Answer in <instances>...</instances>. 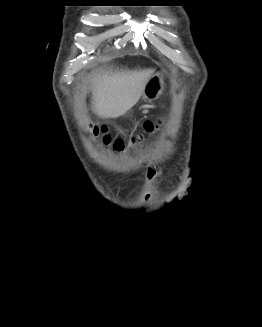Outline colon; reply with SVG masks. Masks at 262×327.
Wrapping results in <instances>:
<instances>
[{
	"label": "colon",
	"instance_id": "obj_1",
	"mask_svg": "<svg viewBox=\"0 0 262 327\" xmlns=\"http://www.w3.org/2000/svg\"><path fill=\"white\" fill-rule=\"evenodd\" d=\"M157 127L158 123L148 120L144 123L143 131L145 133H153L157 129ZM90 131L94 135L102 134L104 144H112L116 150H122L127 144V141L121 138L113 140L109 135L106 134V128L104 126L99 127L97 125H91Z\"/></svg>",
	"mask_w": 262,
	"mask_h": 327
}]
</instances>
